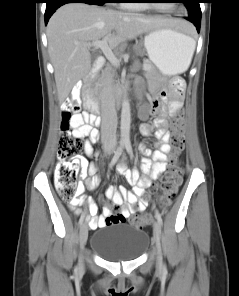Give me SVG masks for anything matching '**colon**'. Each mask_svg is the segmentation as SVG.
<instances>
[{"label": "colon", "mask_w": 239, "mask_h": 296, "mask_svg": "<svg viewBox=\"0 0 239 296\" xmlns=\"http://www.w3.org/2000/svg\"><path fill=\"white\" fill-rule=\"evenodd\" d=\"M79 107L72 99H67L62 104L61 111V137L59 141L58 163L55 168V185L59 195L68 204H74L78 194V174L80 169L79 155L83 149L82 137L75 131L78 124L75 118L79 115ZM170 144L173 148L171 165L169 170L162 176L160 188L162 194L160 203L168 206L177 195L183 169L179 162V155L184 149L185 134L182 114L177 112L172 117V131ZM111 214L107 217V224H117L125 221L117 207L113 206ZM131 223L136 226H145L151 222V216L147 213L136 215L131 218Z\"/></svg>", "instance_id": "obj_1"}]
</instances>
